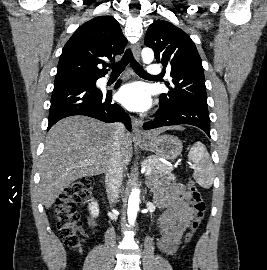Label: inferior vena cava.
<instances>
[{"mask_svg":"<svg viewBox=\"0 0 267 270\" xmlns=\"http://www.w3.org/2000/svg\"><path fill=\"white\" fill-rule=\"evenodd\" d=\"M112 126L114 132V152L106 172L105 182L109 202L116 203L123 180V167L119 157L120 140L124 136L126 129L122 123H115Z\"/></svg>","mask_w":267,"mask_h":270,"instance_id":"inferior-vena-cava-1","label":"inferior vena cava"}]
</instances>
